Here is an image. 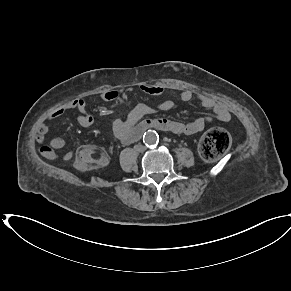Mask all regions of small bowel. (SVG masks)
Wrapping results in <instances>:
<instances>
[{
	"instance_id": "1",
	"label": "small bowel",
	"mask_w": 291,
	"mask_h": 291,
	"mask_svg": "<svg viewBox=\"0 0 291 291\" xmlns=\"http://www.w3.org/2000/svg\"><path fill=\"white\" fill-rule=\"evenodd\" d=\"M140 89L154 96L165 97L168 94L165 87L155 84L143 83L140 85ZM122 95L123 91L109 89L101 95V98L106 102H113ZM180 97L184 102L196 99L202 107L211 110L214 117L202 116L190 122H181L166 118L142 120L145 116L174 109L175 102L170 98H165L155 105L138 104L132 109L126 119L116 120L112 127L114 137L123 144H131L141 138L143 133L147 130V126H150L152 129L167 131L174 134L193 135L202 131L212 122L213 118L224 123L230 122L232 119L231 112L225 104L214 100L206 94L195 93L192 90H184ZM70 110H76L78 112L76 121L79 126L89 128L95 124V118L88 110L87 102L84 98L74 99L52 111L48 115L46 121L39 126L36 136L37 142L41 145V154L49 160L68 161L73 156L72 152L59 154L55 151L63 149L67 145L66 141L61 137H54L49 141L48 145H45V138L49 131L48 122L61 118Z\"/></svg>"
}]
</instances>
